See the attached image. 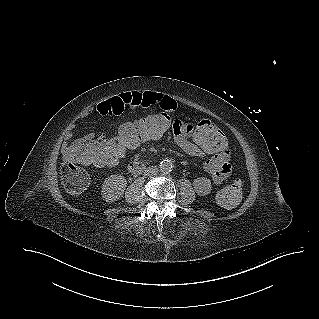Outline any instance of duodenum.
I'll list each match as a JSON object with an SVG mask.
<instances>
[{
  "label": "duodenum",
  "instance_id": "1",
  "mask_svg": "<svg viewBox=\"0 0 319 319\" xmlns=\"http://www.w3.org/2000/svg\"><path fill=\"white\" fill-rule=\"evenodd\" d=\"M129 170L133 174H140L145 171V167L140 163H131L129 165Z\"/></svg>",
  "mask_w": 319,
  "mask_h": 319
}]
</instances>
